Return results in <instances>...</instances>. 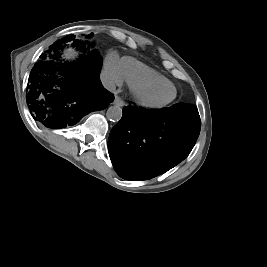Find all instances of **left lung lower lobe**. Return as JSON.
<instances>
[{
	"label": "left lung lower lobe",
	"mask_w": 267,
	"mask_h": 267,
	"mask_svg": "<svg viewBox=\"0 0 267 267\" xmlns=\"http://www.w3.org/2000/svg\"><path fill=\"white\" fill-rule=\"evenodd\" d=\"M197 107L123 108L112 128L108 148L113 167L126 180H147L173 168L192 150L200 133Z\"/></svg>",
	"instance_id": "0a47b994"
}]
</instances>
